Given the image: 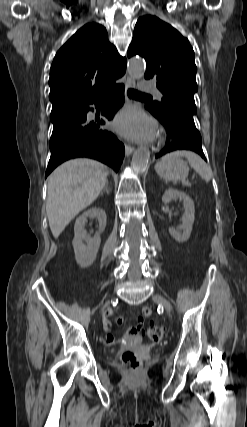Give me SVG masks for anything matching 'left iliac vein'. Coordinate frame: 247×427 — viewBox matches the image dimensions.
I'll return each mask as SVG.
<instances>
[{
  "mask_svg": "<svg viewBox=\"0 0 247 427\" xmlns=\"http://www.w3.org/2000/svg\"><path fill=\"white\" fill-rule=\"evenodd\" d=\"M152 299H153V301L161 304L165 308L167 313L170 314L172 312V306H171L170 302L164 296H162L160 294H155V295H153Z\"/></svg>",
  "mask_w": 247,
  "mask_h": 427,
  "instance_id": "4c4485c4",
  "label": "left iliac vein"
}]
</instances>
